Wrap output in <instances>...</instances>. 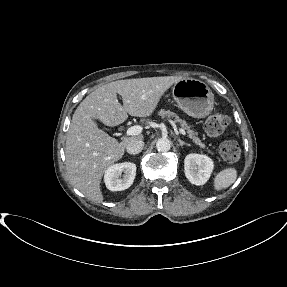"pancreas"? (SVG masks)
Here are the masks:
<instances>
[{
	"label": "pancreas",
	"instance_id": "pancreas-1",
	"mask_svg": "<svg viewBox=\"0 0 287 287\" xmlns=\"http://www.w3.org/2000/svg\"><path fill=\"white\" fill-rule=\"evenodd\" d=\"M158 115L161 116L162 118H174L175 122H178L180 124V126L182 127V129L184 131H186L187 135L189 136V138L192 139V141L200 146L201 148H205L207 149L208 152H210L208 150V148L206 147V145L197 137V132H195L190 125H188V123L185 120H182L176 113H173L169 110H163L161 109L158 112Z\"/></svg>",
	"mask_w": 287,
	"mask_h": 287
}]
</instances>
